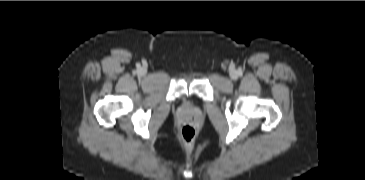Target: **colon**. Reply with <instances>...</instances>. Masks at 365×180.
I'll list each match as a JSON object with an SVG mask.
<instances>
[{
	"label": "colon",
	"mask_w": 365,
	"mask_h": 180,
	"mask_svg": "<svg viewBox=\"0 0 365 180\" xmlns=\"http://www.w3.org/2000/svg\"><path fill=\"white\" fill-rule=\"evenodd\" d=\"M181 138L186 143H192L195 139V129L191 124H184L180 131Z\"/></svg>",
	"instance_id": "1"
}]
</instances>
